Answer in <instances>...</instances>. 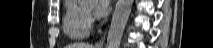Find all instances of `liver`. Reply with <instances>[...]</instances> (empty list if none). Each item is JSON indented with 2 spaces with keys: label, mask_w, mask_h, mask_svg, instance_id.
I'll list each match as a JSON object with an SVG mask.
<instances>
[{
  "label": "liver",
  "mask_w": 213,
  "mask_h": 48,
  "mask_svg": "<svg viewBox=\"0 0 213 48\" xmlns=\"http://www.w3.org/2000/svg\"><path fill=\"white\" fill-rule=\"evenodd\" d=\"M67 48H93L92 45L87 43H75L73 45H69Z\"/></svg>",
  "instance_id": "1"
}]
</instances>
